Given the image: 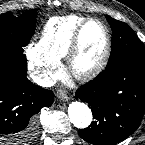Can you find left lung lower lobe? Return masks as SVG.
<instances>
[{"instance_id":"0a47b994","label":"left lung lower lobe","mask_w":145,"mask_h":145,"mask_svg":"<svg viewBox=\"0 0 145 145\" xmlns=\"http://www.w3.org/2000/svg\"><path fill=\"white\" fill-rule=\"evenodd\" d=\"M89 104L95 119L78 130L94 145L116 144L131 135L145 112V67L132 63L106 68L75 94Z\"/></svg>"}]
</instances>
